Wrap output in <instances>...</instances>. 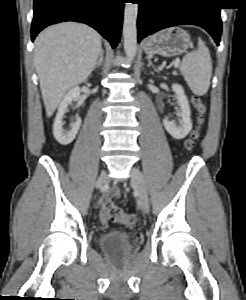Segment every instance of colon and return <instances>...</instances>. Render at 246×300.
<instances>
[{
  "instance_id": "1",
  "label": "colon",
  "mask_w": 246,
  "mask_h": 300,
  "mask_svg": "<svg viewBox=\"0 0 246 300\" xmlns=\"http://www.w3.org/2000/svg\"><path fill=\"white\" fill-rule=\"evenodd\" d=\"M192 103L197 110L198 117H197L196 127L191 132L189 138L185 142V147L188 150L194 148L196 141L200 136V130L204 123V115L206 113V107L203 101L198 96H194L192 98ZM102 213L104 217L107 218L108 220L126 226H132L136 221L134 215L124 212L120 207L115 205L109 199H106L103 202Z\"/></svg>"
}]
</instances>
